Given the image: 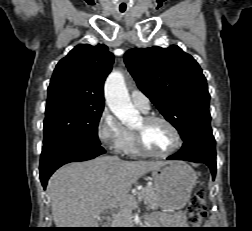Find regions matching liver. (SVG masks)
Masks as SVG:
<instances>
[{
  "instance_id": "6515ba94",
  "label": "liver",
  "mask_w": 252,
  "mask_h": 231,
  "mask_svg": "<svg viewBox=\"0 0 252 231\" xmlns=\"http://www.w3.org/2000/svg\"><path fill=\"white\" fill-rule=\"evenodd\" d=\"M166 164L98 157L63 166L51 176L47 186L55 225L57 228H99L104 206L109 203L119 206L142 175Z\"/></svg>"
}]
</instances>
